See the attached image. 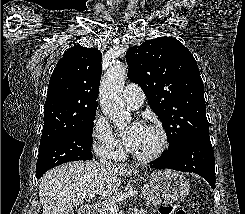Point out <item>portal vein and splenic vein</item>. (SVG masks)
Masks as SVG:
<instances>
[{"instance_id": "obj_1", "label": "portal vein and splenic vein", "mask_w": 245, "mask_h": 214, "mask_svg": "<svg viewBox=\"0 0 245 214\" xmlns=\"http://www.w3.org/2000/svg\"><path fill=\"white\" fill-rule=\"evenodd\" d=\"M136 195H138L137 191H129L128 193H124V194L120 195L116 201L111 202V211L112 212L117 211V209H118L117 203L118 202L122 201L123 199H125L127 197H132V196H136ZM93 197H95V193L94 192L89 193L88 198L92 199Z\"/></svg>"}]
</instances>
